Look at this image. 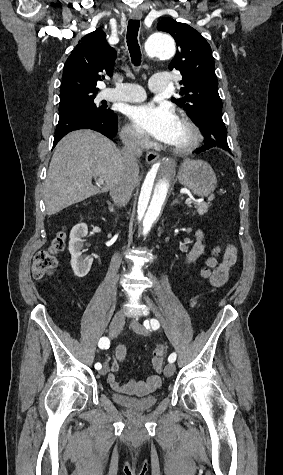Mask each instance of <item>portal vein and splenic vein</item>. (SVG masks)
<instances>
[{"instance_id": "obj_1", "label": "portal vein and splenic vein", "mask_w": 283, "mask_h": 475, "mask_svg": "<svg viewBox=\"0 0 283 475\" xmlns=\"http://www.w3.org/2000/svg\"><path fill=\"white\" fill-rule=\"evenodd\" d=\"M98 186H99V184H98ZM185 204H188V206H190V204H192L191 198H187V200H185Z\"/></svg>"}]
</instances>
